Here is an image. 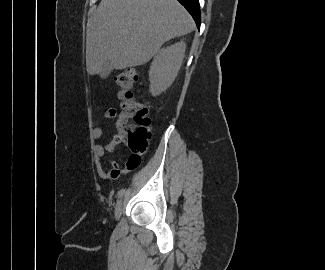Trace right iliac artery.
<instances>
[{"label": "right iliac artery", "mask_w": 325, "mask_h": 270, "mask_svg": "<svg viewBox=\"0 0 325 270\" xmlns=\"http://www.w3.org/2000/svg\"><path fill=\"white\" fill-rule=\"evenodd\" d=\"M124 194H125V189H121L120 191H118L117 196L118 198H121Z\"/></svg>", "instance_id": "obj_1"}]
</instances>
